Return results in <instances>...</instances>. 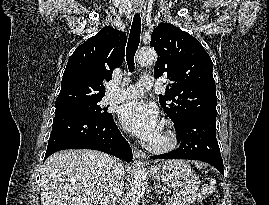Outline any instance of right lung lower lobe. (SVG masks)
Here are the masks:
<instances>
[{
	"label": "right lung lower lobe",
	"mask_w": 269,
	"mask_h": 205,
	"mask_svg": "<svg viewBox=\"0 0 269 205\" xmlns=\"http://www.w3.org/2000/svg\"><path fill=\"white\" fill-rule=\"evenodd\" d=\"M65 149H93L128 163L132 160V149L112 115L105 119L85 114L55 116L44 160Z\"/></svg>",
	"instance_id": "right-lung-lower-lobe-1"
}]
</instances>
